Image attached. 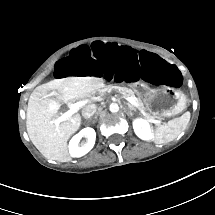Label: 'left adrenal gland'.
Listing matches in <instances>:
<instances>
[{
	"instance_id": "a2214340",
	"label": "left adrenal gland",
	"mask_w": 215,
	"mask_h": 215,
	"mask_svg": "<svg viewBox=\"0 0 215 215\" xmlns=\"http://www.w3.org/2000/svg\"><path fill=\"white\" fill-rule=\"evenodd\" d=\"M128 108H129V109H132V108H130L129 106H128ZM133 110H134V109H133ZM130 114H131V112H130Z\"/></svg>"
}]
</instances>
